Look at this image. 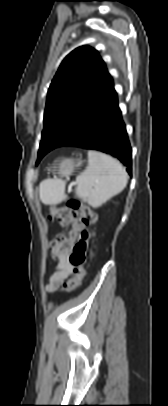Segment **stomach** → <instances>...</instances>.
I'll list each match as a JSON object with an SVG mask.
<instances>
[{
	"instance_id": "1",
	"label": "stomach",
	"mask_w": 168,
	"mask_h": 406,
	"mask_svg": "<svg viewBox=\"0 0 168 406\" xmlns=\"http://www.w3.org/2000/svg\"><path fill=\"white\" fill-rule=\"evenodd\" d=\"M82 165V161L74 160L71 158H63L59 160L53 167L54 171L62 177H69L75 170L76 167Z\"/></svg>"
}]
</instances>
